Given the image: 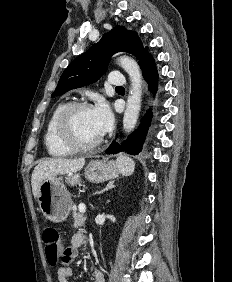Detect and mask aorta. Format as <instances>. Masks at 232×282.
Segmentation results:
<instances>
[{
    "mask_svg": "<svg viewBox=\"0 0 232 282\" xmlns=\"http://www.w3.org/2000/svg\"><path fill=\"white\" fill-rule=\"evenodd\" d=\"M120 65L128 73L131 81L130 95L127 99L126 109L123 117V128L126 132H131L135 127L140 108L142 95V74L137 62L128 56L118 59Z\"/></svg>",
    "mask_w": 232,
    "mask_h": 282,
    "instance_id": "aorta-1",
    "label": "aorta"
}]
</instances>
